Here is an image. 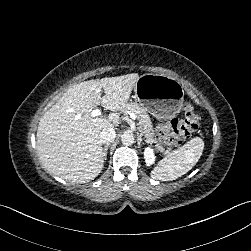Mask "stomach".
Returning <instances> with one entry per match:
<instances>
[{
  "label": "stomach",
  "instance_id": "0dacf381",
  "mask_svg": "<svg viewBox=\"0 0 251 251\" xmlns=\"http://www.w3.org/2000/svg\"><path fill=\"white\" fill-rule=\"evenodd\" d=\"M133 90V97L139 104L158 119H170L182 109L184 90L176 79L168 75L143 74Z\"/></svg>",
  "mask_w": 251,
  "mask_h": 251
}]
</instances>
